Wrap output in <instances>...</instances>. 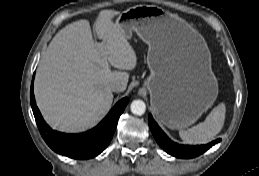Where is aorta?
Returning <instances> with one entry per match:
<instances>
[{
  "mask_svg": "<svg viewBox=\"0 0 259 176\" xmlns=\"http://www.w3.org/2000/svg\"><path fill=\"white\" fill-rule=\"evenodd\" d=\"M131 112L135 115H143L146 111V105L142 100H134L130 105Z\"/></svg>",
  "mask_w": 259,
  "mask_h": 176,
  "instance_id": "1",
  "label": "aorta"
}]
</instances>
